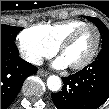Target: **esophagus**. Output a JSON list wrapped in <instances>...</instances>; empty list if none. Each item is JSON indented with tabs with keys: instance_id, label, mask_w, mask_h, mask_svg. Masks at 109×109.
<instances>
[{
	"instance_id": "obj_1",
	"label": "esophagus",
	"mask_w": 109,
	"mask_h": 109,
	"mask_svg": "<svg viewBox=\"0 0 109 109\" xmlns=\"http://www.w3.org/2000/svg\"><path fill=\"white\" fill-rule=\"evenodd\" d=\"M38 74L40 75V76H48V72H46V71H44V70H42V69H40V70H38Z\"/></svg>"
}]
</instances>
